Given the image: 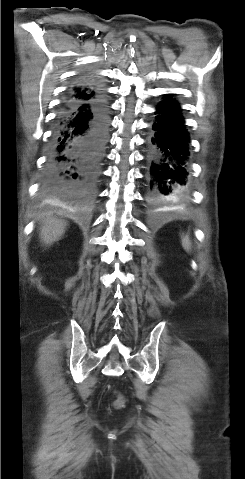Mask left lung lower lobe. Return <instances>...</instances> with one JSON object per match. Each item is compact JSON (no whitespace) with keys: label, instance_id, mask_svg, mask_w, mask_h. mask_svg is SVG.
<instances>
[{"label":"left lung lower lobe","instance_id":"obj_1","mask_svg":"<svg viewBox=\"0 0 245 479\" xmlns=\"http://www.w3.org/2000/svg\"><path fill=\"white\" fill-rule=\"evenodd\" d=\"M156 114L149 159V198L155 203L174 202L187 193L188 134L177 101L165 99L157 106Z\"/></svg>","mask_w":245,"mask_h":479}]
</instances>
